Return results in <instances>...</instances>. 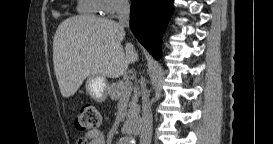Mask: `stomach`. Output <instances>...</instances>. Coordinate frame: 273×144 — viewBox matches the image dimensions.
<instances>
[{
  "instance_id": "obj_1",
  "label": "stomach",
  "mask_w": 273,
  "mask_h": 144,
  "mask_svg": "<svg viewBox=\"0 0 273 144\" xmlns=\"http://www.w3.org/2000/svg\"><path fill=\"white\" fill-rule=\"evenodd\" d=\"M86 91L97 102H104L108 96V83L104 76L96 75L87 77Z\"/></svg>"
}]
</instances>
